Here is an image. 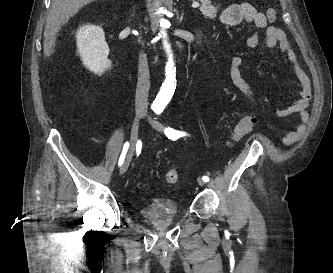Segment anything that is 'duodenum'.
<instances>
[{"instance_id": "obj_1", "label": "duodenum", "mask_w": 333, "mask_h": 273, "mask_svg": "<svg viewBox=\"0 0 333 273\" xmlns=\"http://www.w3.org/2000/svg\"><path fill=\"white\" fill-rule=\"evenodd\" d=\"M194 43H195L196 47H199L200 44H201V33L199 31H197L195 33V41H194Z\"/></svg>"}]
</instances>
